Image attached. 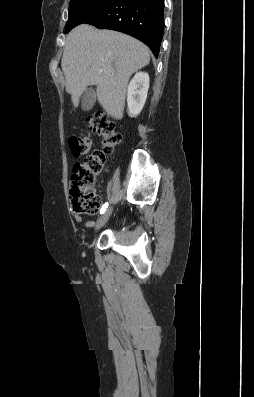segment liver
I'll list each match as a JSON object with an SVG mask.
<instances>
[{"label": "liver", "instance_id": "obj_1", "mask_svg": "<svg viewBox=\"0 0 254 397\" xmlns=\"http://www.w3.org/2000/svg\"><path fill=\"white\" fill-rule=\"evenodd\" d=\"M149 62L148 48L133 37L82 24L66 37L61 67L74 107L87 86L95 85L103 109L122 119L128 81Z\"/></svg>", "mask_w": 254, "mask_h": 397}]
</instances>
